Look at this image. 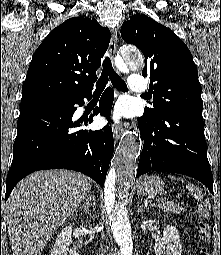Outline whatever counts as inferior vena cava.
Returning <instances> with one entry per match:
<instances>
[{
	"label": "inferior vena cava",
	"mask_w": 221,
	"mask_h": 255,
	"mask_svg": "<svg viewBox=\"0 0 221 255\" xmlns=\"http://www.w3.org/2000/svg\"><path fill=\"white\" fill-rule=\"evenodd\" d=\"M91 200V199H90ZM92 200H94V197H92ZM95 205V203H93ZM94 210V209H93ZM102 255H103V250H102Z\"/></svg>",
	"instance_id": "1"
}]
</instances>
